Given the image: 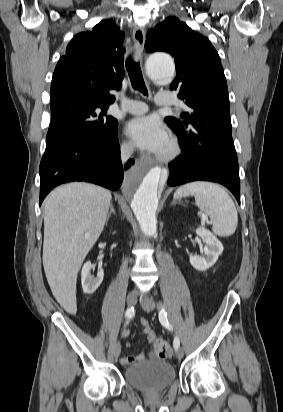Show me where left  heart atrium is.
Segmentation results:
<instances>
[{
  "label": "left heart atrium",
  "instance_id": "obj_1",
  "mask_svg": "<svg viewBox=\"0 0 283 412\" xmlns=\"http://www.w3.org/2000/svg\"><path fill=\"white\" fill-rule=\"evenodd\" d=\"M126 133L142 150L160 153L168 143V134L163 123L154 116H143L131 120Z\"/></svg>",
  "mask_w": 283,
  "mask_h": 412
}]
</instances>
